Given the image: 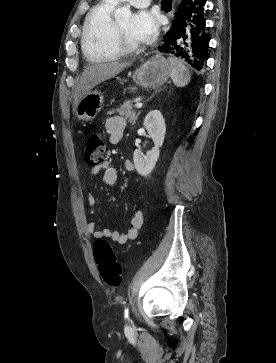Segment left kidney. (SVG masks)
<instances>
[{
	"instance_id": "5707ae66",
	"label": "left kidney",
	"mask_w": 276,
	"mask_h": 363,
	"mask_svg": "<svg viewBox=\"0 0 276 363\" xmlns=\"http://www.w3.org/2000/svg\"><path fill=\"white\" fill-rule=\"evenodd\" d=\"M144 127L148 131L150 138L154 142V147L144 155L140 149H136L133 153V161L137 172L147 177L154 169L159 155L160 147L163 145L166 124L159 110L150 111L143 122Z\"/></svg>"
}]
</instances>
